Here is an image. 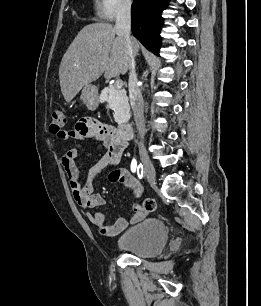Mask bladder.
Instances as JSON below:
<instances>
[{
	"label": "bladder",
	"instance_id": "1",
	"mask_svg": "<svg viewBox=\"0 0 261 306\" xmlns=\"http://www.w3.org/2000/svg\"><path fill=\"white\" fill-rule=\"evenodd\" d=\"M168 241V228L158 218H147L127 228L116 241L119 250L138 257L158 255Z\"/></svg>",
	"mask_w": 261,
	"mask_h": 306
}]
</instances>
